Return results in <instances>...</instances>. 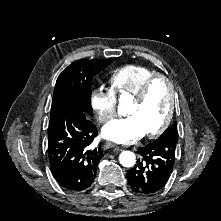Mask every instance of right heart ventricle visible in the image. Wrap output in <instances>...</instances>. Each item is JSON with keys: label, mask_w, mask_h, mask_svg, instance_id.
I'll return each instance as SVG.
<instances>
[{"label": "right heart ventricle", "mask_w": 221, "mask_h": 221, "mask_svg": "<svg viewBox=\"0 0 221 221\" xmlns=\"http://www.w3.org/2000/svg\"><path fill=\"white\" fill-rule=\"evenodd\" d=\"M158 72L144 65H125L112 72L108 78L110 90L119 97H134L143 83Z\"/></svg>", "instance_id": "e07e8e85"}]
</instances>
